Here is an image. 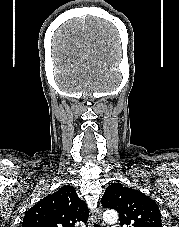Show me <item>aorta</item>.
Listing matches in <instances>:
<instances>
[{
  "label": "aorta",
  "instance_id": "762f6f07",
  "mask_svg": "<svg viewBox=\"0 0 179 227\" xmlns=\"http://www.w3.org/2000/svg\"><path fill=\"white\" fill-rule=\"evenodd\" d=\"M103 218L108 223H115L118 220V214L114 210H107L103 214Z\"/></svg>",
  "mask_w": 179,
  "mask_h": 227
}]
</instances>
